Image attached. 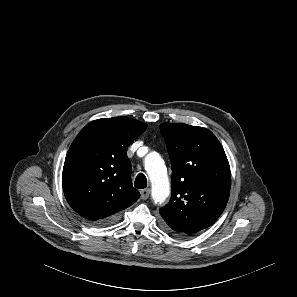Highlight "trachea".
<instances>
[{
	"label": "trachea",
	"instance_id": "1",
	"mask_svg": "<svg viewBox=\"0 0 297 297\" xmlns=\"http://www.w3.org/2000/svg\"><path fill=\"white\" fill-rule=\"evenodd\" d=\"M135 187L138 189L146 188L147 186V179L146 176L142 173H139L137 177L135 178Z\"/></svg>",
	"mask_w": 297,
	"mask_h": 297
}]
</instances>
